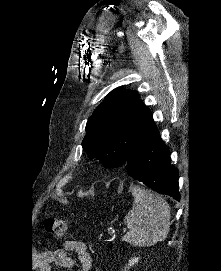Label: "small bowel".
Returning a JSON list of instances; mask_svg holds the SVG:
<instances>
[{
  "instance_id": "small-bowel-1",
  "label": "small bowel",
  "mask_w": 221,
  "mask_h": 271,
  "mask_svg": "<svg viewBox=\"0 0 221 271\" xmlns=\"http://www.w3.org/2000/svg\"><path fill=\"white\" fill-rule=\"evenodd\" d=\"M71 253L77 255L81 271L92 270L93 259L87 251L86 244L82 241H66L62 247L44 251L39 254V270L51 271V264L62 268H71L73 266V261L70 256Z\"/></svg>"
}]
</instances>
